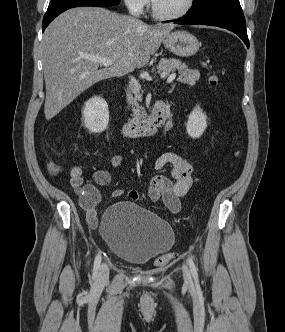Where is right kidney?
Masks as SVG:
<instances>
[{
	"instance_id": "1",
	"label": "right kidney",
	"mask_w": 285,
	"mask_h": 332,
	"mask_svg": "<svg viewBox=\"0 0 285 332\" xmlns=\"http://www.w3.org/2000/svg\"><path fill=\"white\" fill-rule=\"evenodd\" d=\"M82 116L84 125L91 133L103 132L109 122V110L106 101L101 97H92L84 105Z\"/></svg>"
}]
</instances>
